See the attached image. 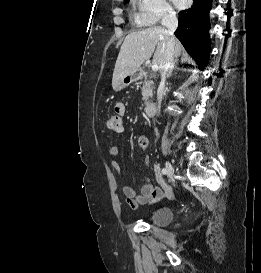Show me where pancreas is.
<instances>
[{
    "label": "pancreas",
    "mask_w": 261,
    "mask_h": 273,
    "mask_svg": "<svg viewBox=\"0 0 261 273\" xmlns=\"http://www.w3.org/2000/svg\"><path fill=\"white\" fill-rule=\"evenodd\" d=\"M152 78V76H151ZM154 82L152 79L145 80L141 89L145 104H148L149 97L153 94Z\"/></svg>",
    "instance_id": "pancreas-1"
}]
</instances>
